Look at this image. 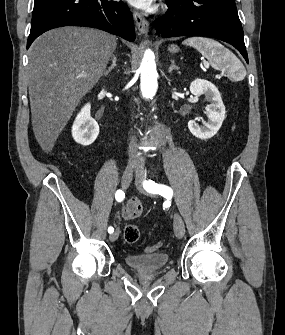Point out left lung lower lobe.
Segmentation results:
<instances>
[{"label":"left lung lower lobe","instance_id":"1","mask_svg":"<svg viewBox=\"0 0 285 335\" xmlns=\"http://www.w3.org/2000/svg\"><path fill=\"white\" fill-rule=\"evenodd\" d=\"M168 13L155 21L163 38L201 35L233 45L248 63L235 0H166Z\"/></svg>","mask_w":285,"mask_h":335}]
</instances>
